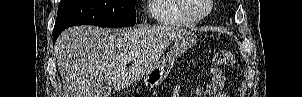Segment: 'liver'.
<instances>
[{"label": "liver", "instance_id": "1", "mask_svg": "<svg viewBox=\"0 0 302 97\" xmlns=\"http://www.w3.org/2000/svg\"><path fill=\"white\" fill-rule=\"evenodd\" d=\"M183 32L168 25L114 30L81 25L64 30L55 43L63 97H100L104 83L115 90L130 86ZM129 57L133 63L127 68Z\"/></svg>", "mask_w": 302, "mask_h": 97}]
</instances>
